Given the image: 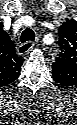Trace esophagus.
Returning a JSON list of instances; mask_svg holds the SVG:
<instances>
[{
    "label": "esophagus",
    "instance_id": "34e87169",
    "mask_svg": "<svg viewBox=\"0 0 77 125\" xmlns=\"http://www.w3.org/2000/svg\"><path fill=\"white\" fill-rule=\"evenodd\" d=\"M34 46L35 43L27 41L18 47L17 52L19 55H28L30 51L34 48Z\"/></svg>",
    "mask_w": 77,
    "mask_h": 125
}]
</instances>
